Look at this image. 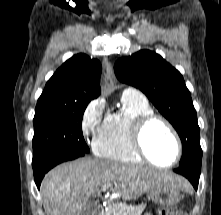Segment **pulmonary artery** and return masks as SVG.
<instances>
[{
    "mask_svg": "<svg viewBox=\"0 0 221 215\" xmlns=\"http://www.w3.org/2000/svg\"><path fill=\"white\" fill-rule=\"evenodd\" d=\"M123 95H129V96H135V97H144L143 94L140 91H138L136 89H133V88L124 89Z\"/></svg>",
    "mask_w": 221,
    "mask_h": 215,
    "instance_id": "obj_1",
    "label": "pulmonary artery"
}]
</instances>
